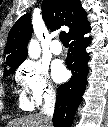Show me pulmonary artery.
Returning a JSON list of instances; mask_svg holds the SVG:
<instances>
[{"mask_svg": "<svg viewBox=\"0 0 108 127\" xmlns=\"http://www.w3.org/2000/svg\"><path fill=\"white\" fill-rule=\"evenodd\" d=\"M50 50L53 54L59 55L62 53L63 48L58 40H53L50 46Z\"/></svg>", "mask_w": 108, "mask_h": 127, "instance_id": "obj_1", "label": "pulmonary artery"}]
</instances>
